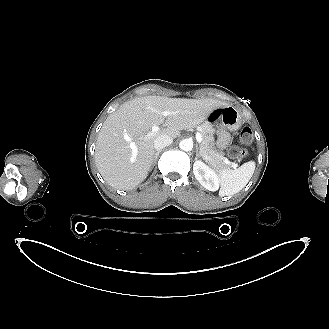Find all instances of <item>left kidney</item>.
Returning <instances> with one entry per match:
<instances>
[{
    "label": "left kidney",
    "instance_id": "5707ae66",
    "mask_svg": "<svg viewBox=\"0 0 329 329\" xmlns=\"http://www.w3.org/2000/svg\"><path fill=\"white\" fill-rule=\"evenodd\" d=\"M193 173L198 182L209 191H216L219 188V179L216 172L209 168L202 161H195L193 164Z\"/></svg>",
    "mask_w": 329,
    "mask_h": 329
}]
</instances>
